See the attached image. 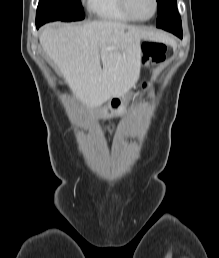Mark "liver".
<instances>
[{
	"label": "liver",
	"mask_w": 219,
	"mask_h": 258,
	"mask_svg": "<svg viewBox=\"0 0 219 258\" xmlns=\"http://www.w3.org/2000/svg\"><path fill=\"white\" fill-rule=\"evenodd\" d=\"M142 39L172 42L165 34L113 21L46 25L39 37L74 95L90 108L100 107L112 97H124L135 85Z\"/></svg>",
	"instance_id": "liver-1"
}]
</instances>
